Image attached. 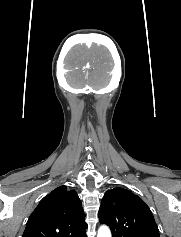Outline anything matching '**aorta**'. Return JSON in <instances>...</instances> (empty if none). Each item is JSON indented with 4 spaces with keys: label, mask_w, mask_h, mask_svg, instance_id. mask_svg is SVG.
<instances>
[{
    "label": "aorta",
    "mask_w": 181,
    "mask_h": 237,
    "mask_svg": "<svg viewBox=\"0 0 181 237\" xmlns=\"http://www.w3.org/2000/svg\"><path fill=\"white\" fill-rule=\"evenodd\" d=\"M97 237H112L110 229L107 226H101L98 230Z\"/></svg>",
    "instance_id": "aorta-1"
}]
</instances>
